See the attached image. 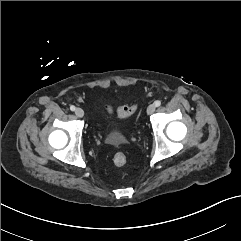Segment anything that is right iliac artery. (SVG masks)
Wrapping results in <instances>:
<instances>
[{
    "instance_id": "right-iliac-artery-1",
    "label": "right iliac artery",
    "mask_w": 241,
    "mask_h": 241,
    "mask_svg": "<svg viewBox=\"0 0 241 241\" xmlns=\"http://www.w3.org/2000/svg\"><path fill=\"white\" fill-rule=\"evenodd\" d=\"M75 109H76V107H75L74 105H71V106H70V110H71V111H75Z\"/></svg>"
}]
</instances>
